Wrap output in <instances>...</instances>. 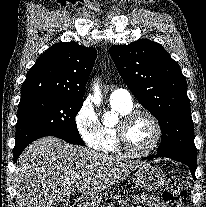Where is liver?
<instances>
[{"label":"liver","instance_id":"1","mask_svg":"<svg viewBox=\"0 0 206 207\" xmlns=\"http://www.w3.org/2000/svg\"><path fill=\"white\" fill-rule=\"evenodd\" d=\"M140 164L73 146L56 137L40 138L18 158L14 173L17 206L54 207L77 188L96 207L103 198L102 191Z\"/></svg>","mask_w":206,"mask_h":207}]
</instances>
